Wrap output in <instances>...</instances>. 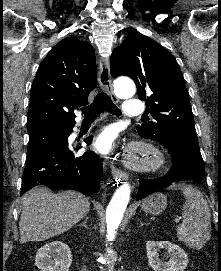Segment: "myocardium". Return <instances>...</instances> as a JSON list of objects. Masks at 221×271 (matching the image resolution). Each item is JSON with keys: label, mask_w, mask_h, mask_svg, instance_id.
Instances as JSON below:
<instances>
[{"label": "myocardium", "mask_w": 221, "mask_h": 271, "mask_svg": "<svg viewBox=\"0 0 221 271\" xmlns=\"http://www.w3.org/2000/svg\"><path fill=\"white\" fill-rule=\"evenodd\" d=\"M132 150L135 155H145V157H128L119 158V163H125L126 165H120L119 169L124 172L132 170H161L163 165H167L163 162V158H159V153H163L164 150H157V145H144L138 140H132Z\"/></svg>", "instance_id": "obj_1"}]
</instances>
